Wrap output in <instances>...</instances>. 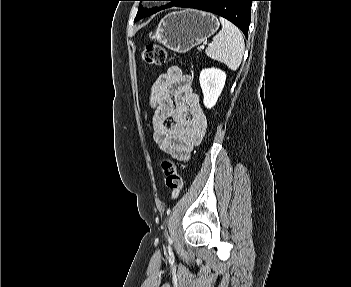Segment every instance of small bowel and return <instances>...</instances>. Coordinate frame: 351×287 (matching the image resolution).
Returning <instances> with one entry per match:
<instances>
[{
  "instance_id": "1",
  "label": "small bowel",
  "mask_w": 351,
  "mask_h": 287,
  "mask_svg": "<svg viewBox=\"0 0 351 287\" xmlns=\"http://www.w3.org/2000/svg\"><path fill=\"white\" fill-rule=\"evenodd\" d=\"M149 105L153 110V139L158 148L180 161L188 160L191 149L202 141L207 128L191 78L179 67L168 68L153 83ZM168 120L173 123L168 125Z\"/></svg>"
}]
</instances>
